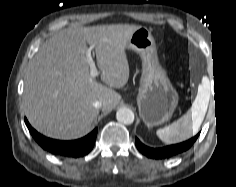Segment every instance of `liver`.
Segmentation results:
<instances>
[{
	"label": "liver",
	"mask_w": 236,
	"mask_h": 187,
	"mask_svg": "<svg viewBox=\"0 0 236 187\" xmlns=\"http://www.w3.org/2000/svg\"><path fill=\"white\" fill-rule=\"evenodd\" d=\"M140 27L72 26L46 40L25 75L24 102L31 125L56 139L87 134L99 115L93 103L100 101L102 111L110 112L121 99L113 89L122 88L129 79L125 48ZM87 45H94L101 80L108 87L91 77Z\"/></svg>",
	"instance_id": "liver-1"
}]
</instances>
